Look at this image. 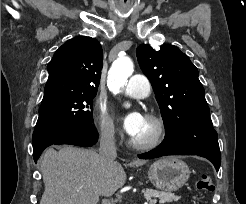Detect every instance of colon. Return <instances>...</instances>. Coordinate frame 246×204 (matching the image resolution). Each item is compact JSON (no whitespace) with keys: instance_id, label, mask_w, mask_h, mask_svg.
<instances>
[{"instance_id":"5ec220e1","label":"colon","mask_w":246,"mask_h":204,"mask_svg":"<svg viewBox=\"0 0 246 204\" xmlns=\"http://www.w3.org/2000/svg\"><path fill=\"white\" fill-rule=\"evenodd\" d=\"M196 188L201 193L213 191L214 184L211 177L208 175H202L196 183Z\"/></svg>"}]
</instances>
